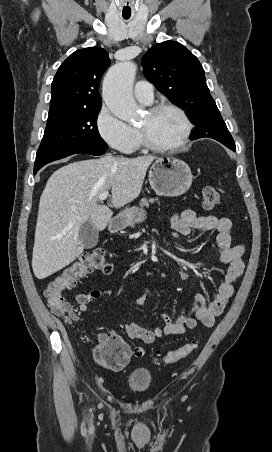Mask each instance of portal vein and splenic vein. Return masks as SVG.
<instances>
[{
    "instance_id": "portal-vein-and-splenic-vein-1",
    "label": "portal vein and splenic vein",
    "mask_w": 272,
    "mask_h": 452,
    "mask_svg": "<svg viewBox=\"0 0 272 452\" xmlns=\"http://www.w3.org/2000/svg\"><path fill=\"white\" fill-rule=\"evenodd\" d=\"M108 196H109V192L105 191L99 195L98 200L102 202V201L106 200Z\"/></svg>"
}]
</instances>
